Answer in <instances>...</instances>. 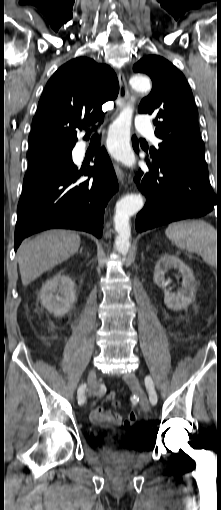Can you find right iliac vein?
I'll list each match as a JSON object with an SVG mask.
<instances>
[{
  "mask_svg": "<svg viewBox=\"0 0 221 510\" xmlns=\"http://www.w3.org/2000/svg\"><path fill=\"white\" fill-rule=\"evenodd\" d=\"M96 371L95 369H91L88 374V394L89 396H92L94 393H96Z\"/></svg>",
  "mask_w": 221,
  "mask_h": 510,
  "instance_id": "right-iliac-vein-1",
  "label": "right iliac vein"
}]
</instances>
